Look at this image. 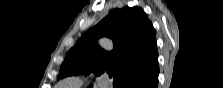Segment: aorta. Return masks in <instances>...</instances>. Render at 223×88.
Segmentation results:
<instances>
[{
  "label": "aorta",
  "mask_w": 223,
  "mask_h": 88,
  "mask_svg": "<svg viewBox=\"0 0 223 88\" xmlns=\"http://www.w3.org/2000/svg\"><path fill=\"white\" fill-rule=\"evenodd\" d=\"M101 46L103 49L110 51L113 49V43L111 40L107 39V38H103L100 42Z\"/></svg>",
  "instance_id": "obj_1"
}]
</instances>
